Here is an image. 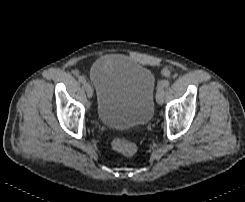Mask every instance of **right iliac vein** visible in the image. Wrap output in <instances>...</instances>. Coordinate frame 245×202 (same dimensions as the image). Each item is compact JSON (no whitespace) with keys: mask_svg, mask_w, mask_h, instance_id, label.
<instances>
[{"mask_svg":"<svg viewBox=\"0 0 245 202\" xmlns=\"http://www.w3.org/2000/svg\"><path fill=\"white\" fill-rule=\"evenodd\" d=\"M84 88L86 90L87 96L89 98H91L93 96V88H92V86L88 82H85L84 83Z\"/></svg>","mask_w":245,"mask_h":202,"instance_id":"right-iliac-vein-1","label":"right iliac vein"}]
</instances>
